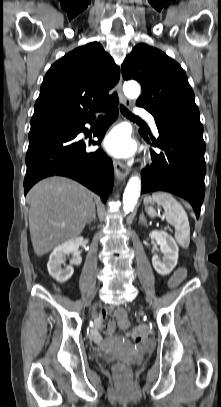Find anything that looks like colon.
<instances>
[{"instance_id": "obj_1", "label": "colon", "mask_w": 221, "mask_h": 407, "mask_svg": "<svg viewBox=\"0 0 221 407\" xmlns=\"http://www.w3.org/2000/svg\"><path fill=\"white\" fill-rule=\"evenodd\" d=\"M188 272V267L186 265H179L177 270L174 271L173 275L170 276L168 284V289L170 291H175L177 289V284H184L186 282V273ZM128 312L126 309H119L116 315L115 323L119 330L131 329L133 327V322L128 320ZM146 337V332L143 329H135L131 332V338L135 342H141ZM113 374L120 385L128 383L131 375V370L129 366L123 363H116L113 366Z\"/></svg>"}]
</instances>
